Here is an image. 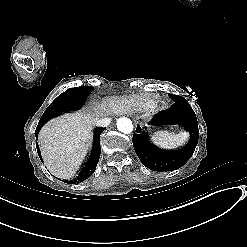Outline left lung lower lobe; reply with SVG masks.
Returning a JSON list of instances; mask_svg holds the SVG:
<instances>
[{
  "label": "left lung lower lobe",
  "mask_w": 247,
  "mask_h": 247,
  "mask_svg": "<svg viewBox=\"0 0 247 247\" xmlns=\"http://www.w3.org/2000/svg\"><path fill=\"white\" fill-rule=\"evenodd\" d=\"M167 123H183L191 134L188 144L177 151H166L151 144L146 132L133 135V146L144 166L154 171H172L182 167L193 155L199 138L196 115L189 104L174 103L164 120ZM140 127L137 128V132Z\"/></svg>",
  "instance_id": "1"
}]
</instances>
